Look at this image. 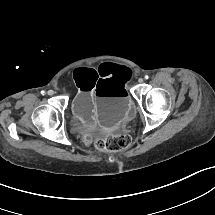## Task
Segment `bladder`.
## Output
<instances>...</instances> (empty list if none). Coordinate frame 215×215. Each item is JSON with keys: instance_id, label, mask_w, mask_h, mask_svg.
Here are the masks:
<instances>
[{"instance_id": "1", "label": "bladder", "mask_w": 215, "mask_h": 215, "mask_svg": "<svg viewBox=\"0 0 215 215\" xmlns=\"http://www.w3.org/2000/svg\"><path fill=\"white\" fill-rule=\"evenodd\" d=\"M73 128L75 129V130H81V127H79V126H77V125H73Z\"/></svg>"}]
</instances>
